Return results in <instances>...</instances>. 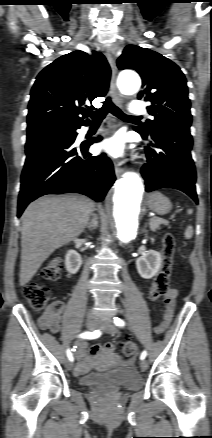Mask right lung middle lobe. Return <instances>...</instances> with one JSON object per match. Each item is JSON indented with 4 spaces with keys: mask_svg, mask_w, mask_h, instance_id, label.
Masks as SVG:
<instances>
[{
    "mask_svg": "<svg viewBox=\"0 0 212 438\" xmlns=\"http://www.w3.org/2000/svg\"><path fill=\"white\" fill-rule=\"evenodd\" d=\"M67 127H69V130H74L75 129V127H70V126H67ZM40 129H42V128H40ZM36 130H39V129H36ZM32 131H35V130H32ZM28 132H31V131H28Z\"/></svg>",
    "mask_w": 212,
    "mask_h": 438,
    "instance_id": "dd1d6c3e",
    "label": "right lung middle lobe"
}]
</instances>
